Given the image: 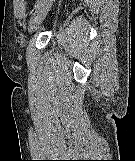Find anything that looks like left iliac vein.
<instances>
[{
	"label": "left iliac vein",
	"instance_id": "obj_1",
	"mask_svg": "<svg viewBox=\"0 0 135 161\" xmlns=\"http://www.w3.org/2000/svg\"><path fill=\"white\" fill-rule=\"evenodd\" d=\"M54 0H43L36 8L28 23L29 33L35 32L48 14Z\"/></svg>",
	"mask_w": 135,
	"mask_h": 161
}]
</instances>
